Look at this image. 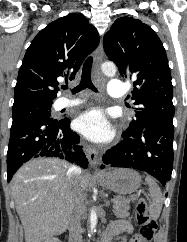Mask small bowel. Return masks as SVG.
<instances>
[{
    "label": "small bowel",
    "instance_id": "1",
    "mask_svg": "<svg viewBox=\"0 0 187 242\" xmlns=\"http://www.w3.org/2000/svg\"><path fill=\"white\" fill-rule=\"evenodd\" d=\"M133 227L132 225L124 220H119L115 223H113L108 230L106 231L105 235H110L111 237L117 235V234H124V238L122 242H125V236L127 234L132 233ZM137 236H135L133 239H131L129 242H136Z\"/></svg>",
    "mask_w": 187,
    "mask_h": 242
}]
</instances>
